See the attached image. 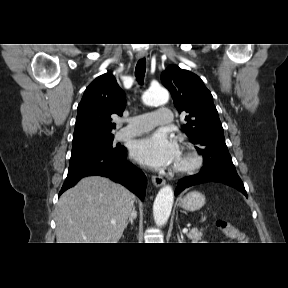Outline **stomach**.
<instances>
[{
    "mask_svg": "<svg viewBox=\"0 0 288 288\" xmlns=\"http://www.w3.org/2000/svg\"><path fill=\"white\" fill-rule=\"evenodd\" d=\"M205 204V196L197 191L188 193L180 201V205L187 211H196L203 207Z\"/></svg>",
    "mask_w": 288,
    "mask_h": 288,
    "instance_id": "1",
    "label": "stomach"
}]
</instances>
